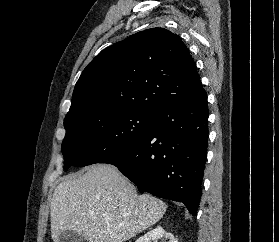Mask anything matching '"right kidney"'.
Here are the masks:
<instances>
[{
	"mask_svg": "<svg viewBox=\"0 0 279 242\" xmlns=\"http://www.w3.org/2000/svg\"><path fill=\"white\" fill-rule=\"evenodd\" d=\"M161 238L168 240V242H178L171 233L166 232L161 226L151 229L144 236L137 239L136 242H157Z\"/></svg>",
	"mask_w": 279,
	"mask_h": 242,
	"instance_id": "right-kidney-1",
	"label": "right kidney"
}]
</instances>
